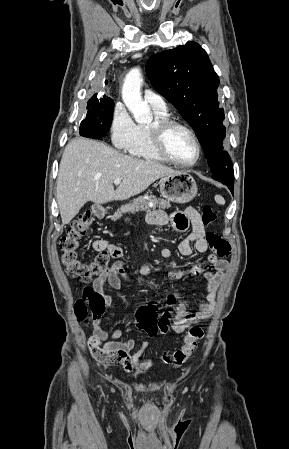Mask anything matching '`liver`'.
<instances>
[{
  "mask_svg": "<svg viewBox=\"0 0 289 449\" xmlns=\"http://www.w3.org/2000/svg\"><path fill=\"white\" fill-rule=\"evenodd\" d=\"M176 172L156 162L124 155L101 142L73 139L65 147L57 178L62 223L68 224L88 201L105 204L126 200ZM117 178L122 182L114 190Z\"/></svg>",
  "mask_w": 289,
  "mask_h": 449,
  "instance_id": "6515ba94",
  "label": "liver"
}]
</instances>
